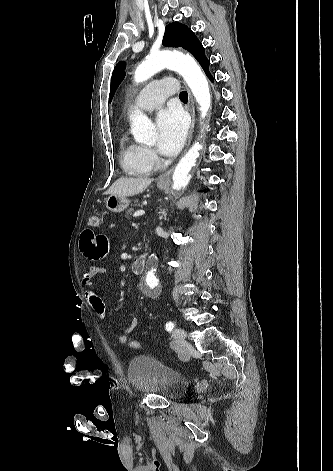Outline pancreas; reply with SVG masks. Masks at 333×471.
<instances>
[{
    "instance_id": "pancreas-1",
    "label": "pancreas",
    "mask_w": 333,
    "mask_h": 471,
    "mask_svg": "<svg viewBox=\"0 0 333 471\" xmlns=\"http://www.w3.org/2000/svg\"><path fill=\"white\" fill-rule=\"evenodd\" d=\"M138 205H139V203H138V201L136 200V201H134V204H133L132 206H138ZM132 211H133V208H132V207H130L129 209H127V211H126V216H129V214H131Z\"/></svg>"
}]
</instances>
